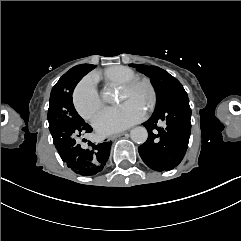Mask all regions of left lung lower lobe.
Masks as SVG:
<instances>
[{
    "instance_id": "left-lung-lower-lobe-1",
    "label": "left lung lower lobe",
    "mask_w": 241,
    "mask_h": 241,
    "mask_svg": "<svg viewBox=\"0 0 241 241\" xmlns=\"http://www.w3.org/2000/svg\"><path fill=\"white\" fill-rule=\"evenodd\" d=\"M191 109L187 94L173 97L143 123L148 139L138 150L144 163L155 171H168L183 159L189 142ZM166 122L165 128L157 126Z\"/></svg>"
}]
</instances>
